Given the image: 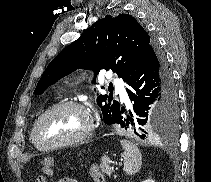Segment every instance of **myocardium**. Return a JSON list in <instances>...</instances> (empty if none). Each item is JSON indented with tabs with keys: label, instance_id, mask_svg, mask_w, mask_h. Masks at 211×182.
<instances>
[{
	"label": "myocardium",
	"instance_id": "myocardium-1",
	"mask_svg": "<svg viewBox=\"0 0 211 182\" xmlns=\"http://www.w3.org/2000/svg\"><path fill=\"white\" fill-rule=\"evenodd\" d=\"M69 107L79 109L87 115L88 126H87L86 130L81 135H79L75 138L68 139L65 141H60V142L53 143V144L43 145L40 142L38 135H37L38 128H39L40 124L43 122V120L45 118H47L49 115L53 114L54 112H56L60 109L69 108ZM94 128H95V123H94L93 116L91 115L90 111L86 108V106H84L83 104L76 102V101H62V102H59V103L53 105L46 111H44L36 119V121L32 127L31 137H32V140L37 148H39L41 150H52V149L65 147V146L78 145V144L85 142L87 139H89L91 137V135L94 131Z\"/></svg>",
	"mask_w": 211,
	"mask_h": 182
}]
</instances>
